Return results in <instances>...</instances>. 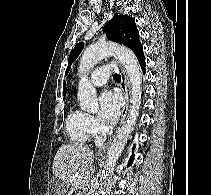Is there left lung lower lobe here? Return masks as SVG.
Wrapping results in <instances>:
<instances>
[{
  "label": "left lung lower lobe",
  "mask_w": 211,
  "mask_h": 195,
  "mask_svg": "<svg viewBox=\"0 0 211 195\" xmlns=\"http://www.w3.org/2000/svg\"><path fill=\"white\" fill-rule=\"evenodd\" d=\"M137 58H138V60L141 64L143 71H145V57H144V55L142 54V55L138 56Z\"/></svg>",
  "instance_id": "1"
}]
</instances>
